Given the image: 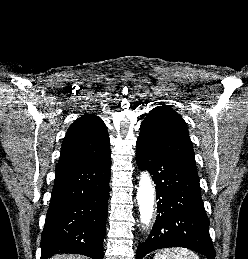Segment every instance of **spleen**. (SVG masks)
I'll return each mask as SVG.
<instances>
[{
	"label": "spleen",
	"instance_id": "spleen-1",
	"mask_svg": "<svg viewBox=\"0 0 248 259\" xmlns=\"http://www.w3.org/2000/svg\"><path fill=\"white\" fill-rule=\"evenodd\" d=\"M154 259H200L197 254L187 248H169L157 252Z\"/></svg>",
	"mask_w": 248,
	"mask_h": 259
}]
</instances>
